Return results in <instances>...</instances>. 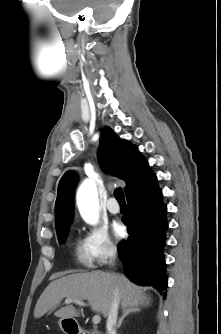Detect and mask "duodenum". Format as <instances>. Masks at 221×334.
<instances>
[{
  "mask_svg": "<svg viewBox=\"0 0 221 334\" xmlns=\"http://www.w3.org/2000/svg\"><path fill=\"white\" fill-rule=\"evenodd\" d=\"M67 332H69L70 334H100L99 332L86 329H70Z\"/></svg>",
  "mask_w": 221,
  "mask_h": 334,
  "instance_id": "duodenum-1",
  "label": "duodenum"
}]
</instances>
